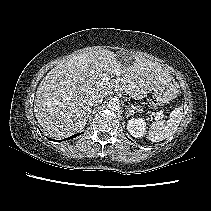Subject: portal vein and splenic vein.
I'll use <instances>...</instances> for the list:
<instances>
[{"label": "portal vein and splenic vein", "mask_w": 211, "mask_h": 211, "mask_svg": "<svg viewBox=\"0 0 211 211\" xmlns=\"http://www.w3.org/2000/svg\"><path fill=\"white\" fill-rule=\"evenodd\" d=\"M116 75H120V72L116 71ZM110 78L109 77H105L103 78V80H109ZM156 120H159L160 119V114L159 113H156V117H155Z\"/></svg>", "instance_id": "portal-vein-and-splenic-vein-1"}]
</instances>
